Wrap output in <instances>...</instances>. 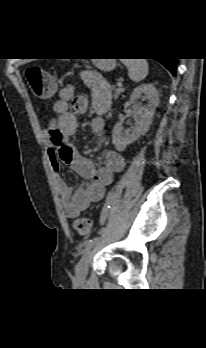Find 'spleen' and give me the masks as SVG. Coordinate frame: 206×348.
I'll use <instances>...</instances> for the list:
<instances>
[{"label":"spleen","instance_id":"spleen-1","mask_svg":"<svg viewBox=\"0 0 206 348\" xmlns=\"http://www.w3.org/2000/svg\"><path fill=\"white\" fill-rule=\"evenodd\" d=\"M122 63L128 68L130 79L136 83L148 75V62L145 59H123Z\"/></svg>","mask_w":206,"mask_h":348}]
</instances>
